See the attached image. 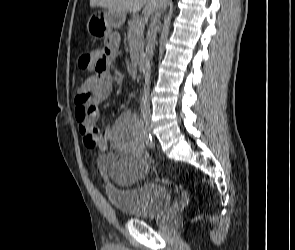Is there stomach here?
<instances>
[{"instance_id":"0dacf381","label":"stomach","mask_w":295,"mask_h":250,"mask_svg":"<svg viewBox=\"0 0 295 250\" xmlns=\"http://www.w3.org/2000/svg\"><path fill=\"white\" fill-rule=\"evenodd\" d=\"M126 20L124 12L114 10H97L95 15L90 17L87 23V30L90 35L96 36V40H103L113 28L121 27Z\"/></svg>"}]
</instances>
